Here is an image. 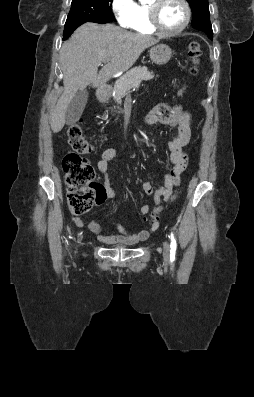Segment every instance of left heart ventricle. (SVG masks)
<instances>
[{
	"instance_id": "b2bd125f",
	"label": "left heart ventricle",
	"mask_w": 254,
	"mask_h": 397,
	"mask_svg": "<svg viewBox=\"0 0 254 397\" xmlns=\"http://www.w3.org/2000/svg\"><path fill=\"white\" fill-rule=\"evenodd\" d=\"M159 22L164 29L178 28L184 19V8L178 0H165L159 8Z\"/></svg>"
}]
</instances>
